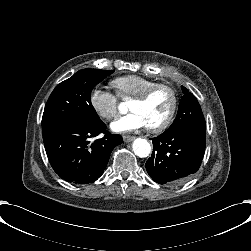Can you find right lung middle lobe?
Instances as JSON below:
<instances>
[{
  "label": "right lung middle lobe",
  "instance_id": "1",
  "mask_svg": "<svg viewBox=\"0 0 251 251\" xmlns=\"http://www.w3.org/2000/svg\"><path fill=\"white\" fill-rule=\"evenodd\" d=\"M114 70L82 69L58 84L51 93L42 117V132L68 122L101 123L91 104L93 88Z\"/></svg>",
  "mask_w": 251,
  "mask_h": 251
}]
</instances>
